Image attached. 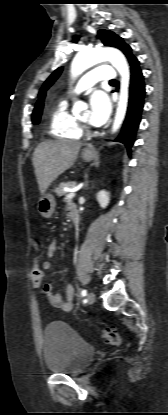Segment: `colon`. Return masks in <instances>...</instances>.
Returning a JSON list of instances; mask_svg holds the SVG:
<instances>
[{"label": "colon", "instance_id": "5ec220e1", "mask_svg": "<svg viewBox=\"0 0 168 415\" xmlns=\"http://www.w3.org/2000/svg\"><path fill=\"white\" fill-rule=\"evenodd\" d=\"M46 258L43 253H39L34 260L33 267H32V274L29 277V282L31 283V289L33 291H39L43 284L44 280V264ZM102 334L104 339L112 344L118 345L120 343V336L118 332L114 328H105L102 330Z\"/></svg>", "mask_w": 168, "mask_h": 415}]
</instances>
